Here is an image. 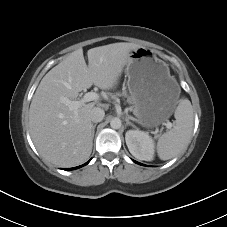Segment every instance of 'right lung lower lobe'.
Here are the masks:
<instances>
[{"instance_id":"1","label":"right lung lower lobe","mask_w":227,"mask_h":227,"mask_svg":"<svg viewBox=\"0 0 227 227\" xmlns=\"http://www.w3.org/2000/svg\"><path fill=\"white\" fill-rule=\"evenodd\" d=\"M88 163V162H87ZM86 163V164H87ZM86 164H84V165H86ZM83 166V165H82ZM76 168H79V167H74V168H69V169H65V170H72V169H76Z\"/></svg>"}]
</instances>
